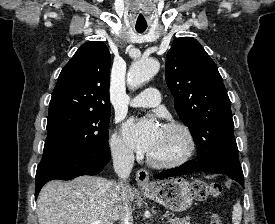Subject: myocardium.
Returning <instances> with one entry per match:
<instances>
[{
	"mask_svg": "<svg viewBox=\"0 0 275 224\" xmlns=\"http://www.w3.org/2000/svg\"><path fill=\"white\" fill-rule=\"evenodd\" d=\"M164 128L178 131L185 142L183 152L176 158L170 160H156L150 155L147 156L149 165L155 168H173L184 164L192 156L195 149V140L191 129L180 121H169L164 125Z\"/></svg>",
	"mask_w": 275,
	"mask_h": 224,
	"instance_id": "myocardium-1",
	"label": "myocardium"
}]
</instances>
